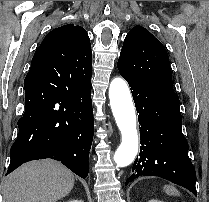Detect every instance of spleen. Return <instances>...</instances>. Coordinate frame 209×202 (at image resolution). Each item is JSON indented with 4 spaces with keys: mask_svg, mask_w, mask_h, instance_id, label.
I'll list each match as a JSON object with an SVG mask.
<instances>
[{
    "mask_svg": "<svg viewBox=\"0 0 209 202\" xmlns=\"http://www.w3.org/2000/svg\"><path fill=\"white\" fill-rule=\"evenodd\" d=\"M164 191L168 195H175V196H179L180 195L179 191L172 185H165L164 186Z\"/></svg>",
    "mask_w": 209,
    "mask_h": 202,
    "instance_id": "spleen-1",
    "label": "spleen"
}]
</instances>
